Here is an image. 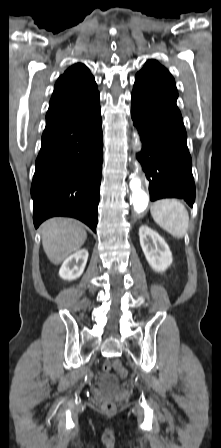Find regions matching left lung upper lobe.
<instances>
[{
  "mask_svg": "<svg viewBox=\"0 0 221 448\" xmlns=\"http://www.w3.org/2000/svg\"><path fill=\"white\" fill-rule=\"evenodd\" d=\"M134 87L177 107L178 92L175 80L156 60H148L136 74Z\"/></svg>",
  "mask_w": 221,
  "mask_h": 448,
  "instance_id": "1",
  "label": "left lung upper lobe"
}]
</instances>
